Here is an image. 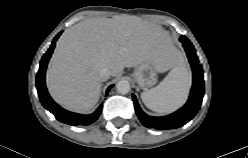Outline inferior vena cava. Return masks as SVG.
Listing matches in <instances>:
<instances>
[{"mask_svg": "<svg viewBox=\"0 0 248 158\" xmlns=\"http://www.w3.org/2000/svg\"><path fill=\"white\" fill-rule=\"evenodd\" d=\"M102 81L107 80L111 76V71L108 68H103L99 74Z\"/></svg>", "mask_w": 248, "mask_h": 158, "instance_id": "602c4592", "label": "inferior vena cava"}]
</instances>
